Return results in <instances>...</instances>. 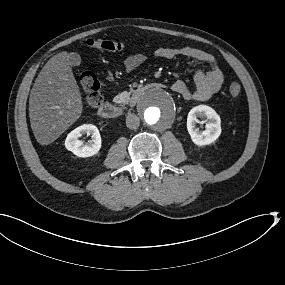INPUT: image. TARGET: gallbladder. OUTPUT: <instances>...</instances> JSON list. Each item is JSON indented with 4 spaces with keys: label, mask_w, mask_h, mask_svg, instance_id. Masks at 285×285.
<instances>
[{
    "label": "gallbladder",
    "mask_w": 285,
    "mask_h": 285,
    "mask_svg": "<svg viewBox=\"0 0 285 285\" xmlns=\"http://www.w3.org/2000/svg\"><path fill=\"white\" fill-rule=\"evenodd\" d=\"M82 62L80 54L72 52L69 54V63L71 66H80Z\"/></svg>",
    "instance_id": "obj_1"
}]
</instances>
